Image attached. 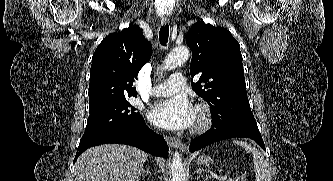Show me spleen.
Wrapping results in <instances>:
<instances>
[{
	"instance_id": "1",
	"label": "spleen",
	"mask_w": 333,
	"mask_h": 181,
	"mask_svg": "<svg viewBox=\"0 0 333 181\" xmlns=\"http://www.w3.org/2000/svg\"><path fill=\"white\" fill-rule=\"evenodd\" d=\"M238 146L243 147L247 153H252L253 156V163H254V170H255V180L256 181H269V164L264 159L261 152L252 147L250 144L243 142V141H233Z\"/></svg>"
}]
</instances>
